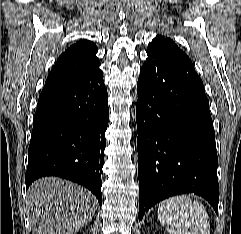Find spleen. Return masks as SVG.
<instances>
[{
    "label": "spleen",
    "mask_w": 241,
    "mask_h": 234,
    "mask_svg": "<svg viewBox=\"0 0 241 234\" xmlns=\"http://www.w3.org/2000/svg\"><path fill=\"white\" fill-rule=\"evenodd\" d=\"M158 219L170 234H210L207 211L198 200L179 195L162 201Z\"/></svg>",
    "instance_id": "3e777b00"
}]
</instances>
